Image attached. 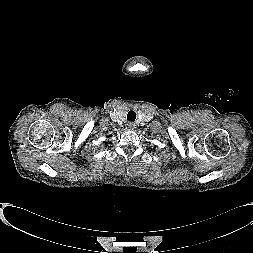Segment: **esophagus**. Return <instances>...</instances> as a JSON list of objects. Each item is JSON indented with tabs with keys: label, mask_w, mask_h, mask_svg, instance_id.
Segmentation results:
<instances>
[{
	"label": "esophagus",
	"mask_w": 253,
	"mask_h": 253,
	"mask_svg": "<svg viewBox=\"0 0 253 253\" xmlns=\"http://www.w3.org/2000/svg\"><path fill=\"white\" fill-rule=\"evenodd\" d=\"M126 126H127L128 129H131V130H132V129L135 128L136 125H135L134 122H128V123L126 124Z\"/></svg>",
	"instance_id": "obj_1"
}]
</instances>
